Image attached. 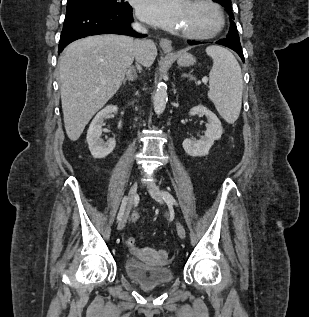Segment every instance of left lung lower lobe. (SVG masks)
Returning <instances> with one entry per match:
<instances>
[{
	"label": "left lung lower lobe",
	"mask_w": 309,
	"mask_h": 317,
	"mask_svg": "<svg viewBox=\"0 0 309 317\" xmlns=\"http://www.w3.org/2000/svg\"><path fill=\"white\" fill-rule=\"evenodd\" d=\"M187 42L190 45L201 44V42H198V41L188 40ZM216 43L234 50L241 57L242 61L244 62V56H243V52H242V48H241L240 43L234 42V41L229 40L227 38L221 39V40L217 41Z\"/></svg>",
	"instance_id": "obj_1"
}]
</instances>
